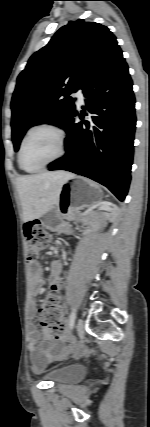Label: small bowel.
Masks as SVG:
<instances>
[{"instance_id": "1", "label": "small bowel", "mask_w": 150, "mask_h": 427, "mask_svg": "<svg viewBox=\"0 0 150 427\" xmlns=\"http://www.w3.org/2000/svg\"><path fill=\"white\" fill-rule=\"evenodd\" d=\"M59 270L60 264L57 261L52 262L50 288L57 292L60 285ZM30 281L35 293L43 291V273L40 265L36 264L30 268ZM27 333V347L31 356L32 367L35 371H39L59 356V342L65 340L66 336H52L47 330H44L45 340H42L41 334L34 324H29Z\"/></svg>"}]
</instances>
